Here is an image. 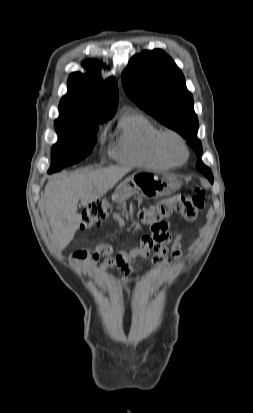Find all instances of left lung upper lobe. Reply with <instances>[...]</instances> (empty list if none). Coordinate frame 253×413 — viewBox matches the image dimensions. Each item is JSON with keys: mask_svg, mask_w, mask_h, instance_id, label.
Wrapping results in <instances>:
<instances>
[{"mask_svg": "<svg viewBox=\"0 0 253 413\" xmlns=\"http://www.w3.org/2000/svg\"><path fill=\"white\" fill-rule=\"evenodd\" d=\"M122 83L129 96L141 109L165 126L177 131L200 157L199 127L193 97L187 90L181 70L163 50L154 49L135 55L122 74ZM196 167L210 182L211 170L198 159Z\"/></svg>", "mask_w": 253, "mask_h": 413, "instance_id": "1", "label": "left lung upper lobe"}]
</instances>
